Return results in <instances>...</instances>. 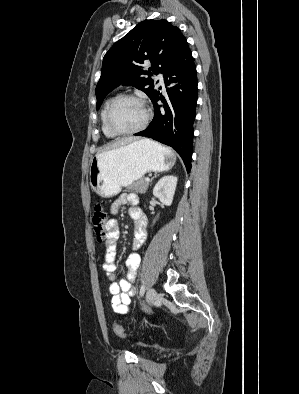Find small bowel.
I'll list each match as a JSON object with an SVG mask.
<instances>
[{
	"label": "small bowel",
	"instance_id": "c3829d8e",
	"mask_svg": "<svg viewBox=\"0 0 299 394\" xmlns=\"http://www.w3.org/2000/svg\"><path fill=\"white\" fill-rule=\"evenodd\" d=\"M130 205L129 216L135 223L133 248L139 249L146 239L147 218L139 206L138 196L134 193L120 195L112 204L111 212L116 214L123 205ZM107 237L105 242V261L103 269L108 280L109 292L112 295V308L119 315L130 313L131 298L135 294L134 281L140 264L137 252L129 254L126 260V278L116 281V246L120 236L119 224L116 219H109L106 224Z\"/></svg>",
	"mask_w": 299,
	"mask_h": 394
}]
</instances>
